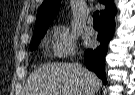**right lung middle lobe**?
Returning <instances> with one entry per match:
<instances>
[{"instance_id":"1","label":"right lung middle lobe","mask_w":135,"mask_h":95,"mask_svg":"<svg viewBox=\"0 0 135 95\" xmlns=\"http://www.w3.org/2000/svg\"><path fill=\"white\" fill-rule=\"evenodd\" d=\"M45 33H46V31L34 32L31 47H30L31 51L37 49V47H38L41 39L44 37Z\"/></svg>"}]
</instances>
